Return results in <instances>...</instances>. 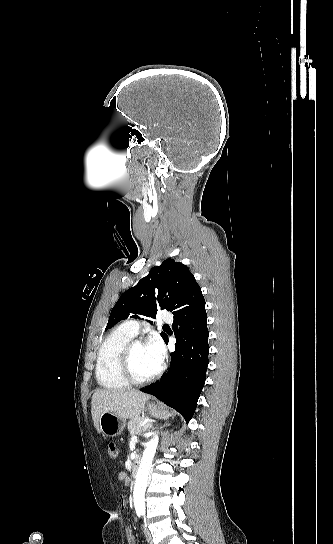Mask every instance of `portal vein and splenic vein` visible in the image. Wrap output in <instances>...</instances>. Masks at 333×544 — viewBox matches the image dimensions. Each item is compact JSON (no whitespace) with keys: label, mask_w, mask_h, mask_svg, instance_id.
<instances>
[{"label":"portal vein and splenic vein","mask_w":333,"mask_h":544,"mask_svg":"<svg viewBox=\"0 0 333 544\" xmlns=\"http://www.w3.org/2000/svg\"><path fill=\"white\" fill-rule=\"evenodd\" d=\"M135 441H137V437H136V436H133V437L131 438V442H135Z\"/></svg>","instance_id":"portal-vein-and-splenic-vein-1"}]
</instances>
